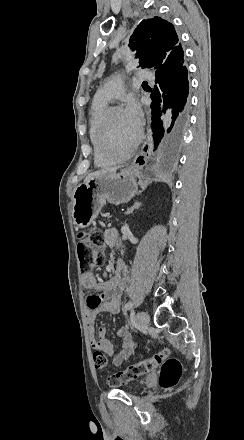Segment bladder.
Returning a JSON list of instances; mask_svg holds the SVG:
<instances>
[{
  "mask_svg": "<svg viewBox=\"0 0 244 440\" xmlns=\"http://www.w3.org/2000/svg\"><path fill=\"white\" fill-rule=\"evenodd\" d=\"M139 386V382H136V383H133V384H130L129 385V387H128V390H134V389H136L137 387Z\"/></svg>",
  "mask_w": 244,
  "mask_h": 440,
  "instance_id": "bladder-1",
  "label": "bladder"
}]
</instances>
